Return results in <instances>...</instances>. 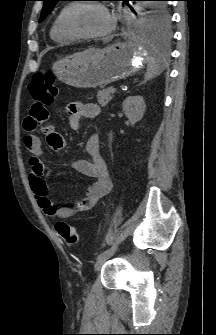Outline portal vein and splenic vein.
Here are the masks:
<instances>
[{
  "mask_svg": "<svg viewBox=\"0 0 216 335\" xmlns=\"http://www.w3.org/2000/svg\"><path fill=\"white\" fill-rule=\"evenodd\" d=\"M116 91H117V89L114 87V88H112L111 93L114 94V93H116Z\"/></svg>",
  "mask_w": 216,
  "mask_h": 335,
  "instance_id": "obj_1",
  "label": "portal vein and splenic vein"
}]
</instances>
